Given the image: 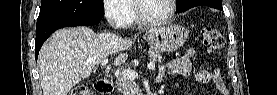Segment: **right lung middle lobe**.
<instances>
[{
    "label": "right lung middle lobe",
    "mask_w": 277,
    "mask_h": 95,
    "mask_svg": "<svg viewBox=\"0 0 277 95\" xmlns=\"http://www.w3.org/2000/svg\"><path fill=\"white\" fill-rule=\"evenodd\" d=\"M103 0H41L37 22L55 18L102 17Z\"/></svg>",
    "instance_id": "obj_1"
}]
</instances>
